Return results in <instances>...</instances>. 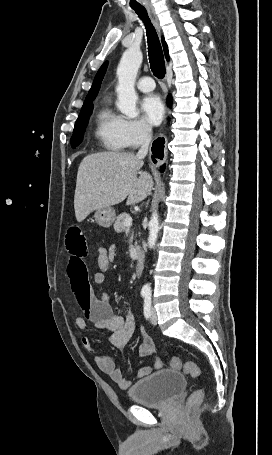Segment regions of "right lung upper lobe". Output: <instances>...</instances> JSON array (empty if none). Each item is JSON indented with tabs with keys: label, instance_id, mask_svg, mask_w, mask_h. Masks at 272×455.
<instances>
[{
	"label": "right lung upper lobe",
	"instance_id": "right-lung-upper-lobe-1",
	"mask_svg": "<svg viewBox=\"0 0 272 455\" xmlns=\"http://www.w3.org/2000/svg\"><path fill=\"white\" fill-rule=\"evenodd\" d=\"M162 44H163V48H164V53H165L166 59L169 60L167 44L164 41L163 37H162ZM107 65H108V62L103 63V65L98 70V72H97V74L95 76V79L93 81L92 87H91V89H90V91H89L84 103L93 101L96 98V96H97V94L99 92L103 77L105 75V72H106V69H107Z\"/></svg>",
	"mask_w": 272,
	"mask_h": 455
}]
</instances>
